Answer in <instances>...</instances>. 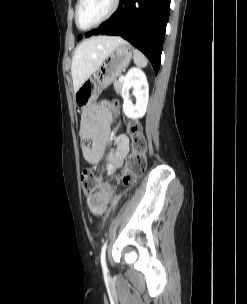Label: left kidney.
Returning a JSON list of instances; mask_svg holds the SVG:
<instances>
[{"mask_svg":"<svg viewBox=\"0 0 247 304\" xmlns=\"http://www.w3.org/2000/svg\"><path fill=\"white\" fill-rule=\"evenodd\" d=\"M133 88L136 98L134 105L129 97V90ZM121 95L123 97V112L131 119L142 118L147 109L149 86L145 73L139 68H131L125 76Z\"/></svg>","mask_w":247,"mask_h":304,"instance_id":"1","label":"left kidney"}]
</instances>
